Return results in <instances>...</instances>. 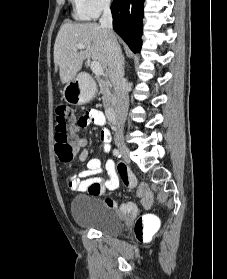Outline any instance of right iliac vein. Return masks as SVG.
<instances>
[{
    "mask_svg": "<svg viewBox=\"0 0 227 279\" xmlns=\"http://www.w3.org/2000/svg\"><path fill=\"white\" fill-rule=\"evenodd\" d=\"M116 145L125 161L130 162V151L124 141L118 140L116 141Z\"/></svg>",
    "mask_w": 227,
    "mask_h": 279,
    "instance_id": "1",
    "label": "right iliac vein"
}]
</instances>
